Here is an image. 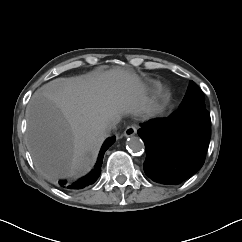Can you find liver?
<instances>
[{
    "mask_svg": "<svg viewBox=\"0 0 242 242\" xmlns=\"http://www.w3.org/2000/svg\"><path fill=\"white\" fill-rule=\"evenodd\" d=\"M150 109L142 83L124 70L57 78L27 106V147L46 178L79 176L96 162L110 119Z\"/></svg>",
    "mask_w": 242,
    "mask_h": 242,
    "instance_id": "1",
    "label": "liver"
}]
</instances>
